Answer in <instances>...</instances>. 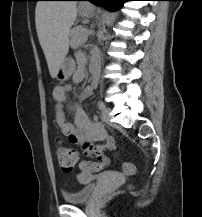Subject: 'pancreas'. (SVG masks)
<instances>
[{"label": "pancreas", "mask_w": 202, "mask_h": 217, "mask_svg": "<svg viewBox=\"0 0 202 217\" xmlns=\"http://www.w3.org/2000/svg\"><path fill=\"white\" fill-rule=\"evenodd\" d=\"M70 37L71 47L77 48L87 40L88 33L83 29L82 26H77L71 30Z\"/></svg>", "instance_id": "obj_1"}]
</instances>
